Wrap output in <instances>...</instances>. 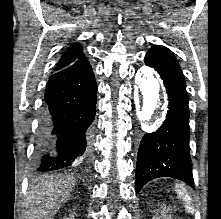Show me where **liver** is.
I'll list each match as a JSON object with an SVG mask.
<instances>
[{
    "label": "liver",
    "instance_id": "1",
    "mask_svg": "<svg viewBox=\"0 0 221 219\" xmlns=\"http://www.w3.org/2000/svg\"><path fill=\"white\" fill-rule=\"evenodd\" d=\"M26 195L28 219H54L75 185L72 176H45L33 182Z\"/></svg>",
    "mask_w": 221,
    "mask_h": 219
}]
</instances>
